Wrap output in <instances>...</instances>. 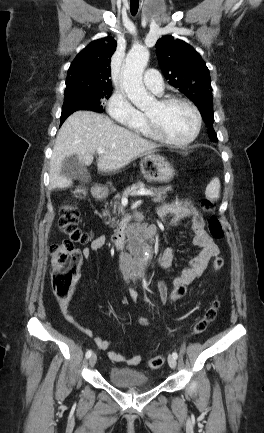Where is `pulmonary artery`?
Segmentation results:
<instances>
[{
	"mask_svg": "<svg viewBox=\"0 0 264 433\" xmlns=\"http://www.w3.org/2000/svg\"><path fill=\"white\" fill-rule=\"evenodd\" d=\"M146 87L153 93L160 95L163 93L164 84L160 73L155 69L147 71L144 77Z\"/></svg>",
	"mask_w": 264,
	"mask_h": 433,
	"instance_id": "1",
	"label": "pulmonary artery"
}]
</instances>
